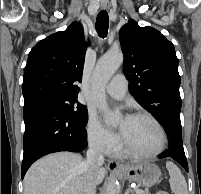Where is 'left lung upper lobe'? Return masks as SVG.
I'll list each match as a JSON object with an SVG mask.
<instances>
[{
  "mask_svg": "<svg viewBox=\"0 0 201 194\" xmlns=\"http://www.w3.org/2000/svg\"><path fill=\"white\" fill-rule=\"evenodd\" d=\"M119 38L123 71L136 101L160 123L169 116L180 118L181 78L173 44L158 30L139 27L134 20L121 28Z\"/></svg>",
  "mask_w": 201,
  "mask_h": 194,
  "instance_id": "1",
  "label": "left lung upper lobe"
}]
</instances>
